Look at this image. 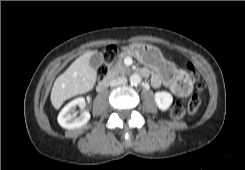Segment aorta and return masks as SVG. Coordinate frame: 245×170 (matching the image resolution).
<instances>
[{"label":"aorta","mask_w":245,"mask_h":170,"mask_svg":"<svg viewBox=\"0 0 245 170\" xmlns=\"http://www.w3.org/2000/svg\"><path fill=\"white\" fill-rule=\"evenodd\" d=\"M141 82V77L138 74H132L130 76V83L132 85H138Z\"/></svg>","instance_id":"aorta-1"}]
</instances>
